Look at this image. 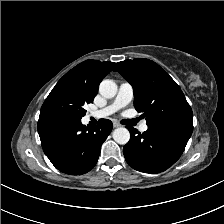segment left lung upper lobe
<instances>
[{"mask_svg": "<svg viewBox=\"0 0 224 224\" xmlns=\"http://www.w3.org/2000/svg\"><path fill=\"white\" fill-rule=\"evenodd\" d=\"M133 87L134 105L147 125L193 127V113L179 85L154 61L136 58L116 64Z\"/></svg>", "mask_w": 224, "mask_h": 224, "instance_id": "obj_1", "label": "left lung upper lobe"}]
</instances>
